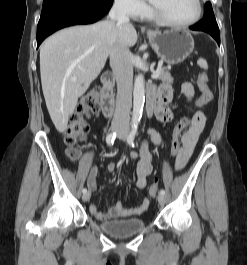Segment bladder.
Wrapping results in <instances>:
<instances>
[{
	"label": "bladder",
	"instance_id": "obj_1",
	"mask_svg": "<svg viewBox=\"0 0 247 265\" xmlns=\"http://www.w3.org/2000/svg\"><path fill=\"white\" fill-rule=\"evenodd\" d=\"M102 231L116 239H126L142 232L145 221L138 218L103 221L99 224Z\"/></svg>",
	"mask_w": 247,
	"mask_h": 265
}]
</instances>
